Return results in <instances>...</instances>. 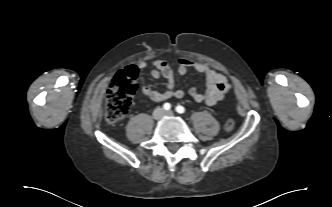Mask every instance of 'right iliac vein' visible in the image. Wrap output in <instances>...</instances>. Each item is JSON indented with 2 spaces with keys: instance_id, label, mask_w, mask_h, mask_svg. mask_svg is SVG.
Masks as SVG:
<instances>
[{
  "instance_id": "obj_1",
  "label": "right iliac vein",
  "mask_w": 332,
  "mask_h": 207,
  "mask_svg": "<svg viewBox=\"0 0 332 207\" xmlns=\"http://www.w3.org/2000/svg\"><path fill=\"white\" fill-rule=\"evenodd\" d=\"M163 114H164V112H163V109H161V108L156 109L155 113H154L156 118H161L163 116Z\"/></svg>"
}]
</instances>
